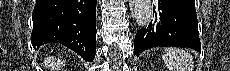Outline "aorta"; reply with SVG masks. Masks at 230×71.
<instances>
[{"label": "aorta", "mask_w": 230, "mask_h": 71, "mask_svg": "<svg viewBox=\"0 0 230 71\" xmlns=\"http://www.w3.org/2000/svg\"><path fill=\"white\" fill-rule=\"evenodd\" d=\"M134 17L138 26L147 27L153 17L151 0H135Z\"/></svg>", "instance_id": "obj_1"}]
</instances>
